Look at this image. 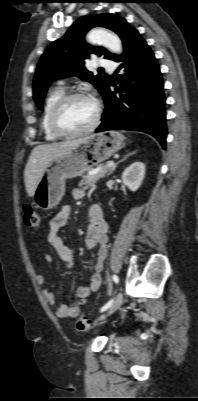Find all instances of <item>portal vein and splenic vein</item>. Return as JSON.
<instances>
[{
    "mask_svg": "<svg viewBox=\"0 0 198 401\" xmlns=\"http://www.w3.org/2000/svg\"><path fill=\"white\" fill-rule=\"evenodd\" d=\"M107 166L108 167H113L114 166V162L113 161L108 162Z\"/></svg>",
    "mask_w": 198,
    "mask_h": 401,
    "instance_id": "1",
    "label": "portal vein and splenic vein"
}]
</instances>
